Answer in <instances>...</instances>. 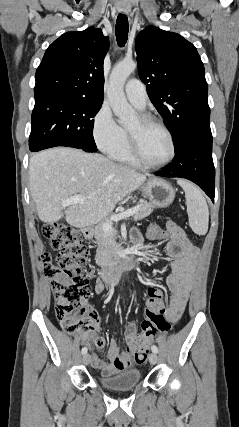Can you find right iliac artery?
I'll use <instances>...</instances> for the list:
<instances>
[{"label": "right iliac artery", "mask_w": 239, "mask_h": 427, "mask_svg": "<svg viewBox=\"0 0 239 427\" xmlns=\"http://www.w3.org/2000/svg\"><path fill=\"white\" fill-rule=\"evenodd\" d=\"M81 353H82L83 355H85V354L87 353V348H86V347L82 348Z\"/></svg>", "instance_id": "82829eb1"}]
</instances>
